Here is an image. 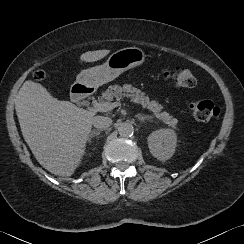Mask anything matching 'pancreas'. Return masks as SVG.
Wrapping results in <instances>:
<instances>
[{
	"instance_id": "cf45deb5",
	"label": "pancreas",
	"mask_w": 244,
	"mask_h": 244,
	"mask_svg": "<svg viewBox=\"0 0 244 244\" xmlns=\"http://www.w3.org/2000/svg\"><path fill=\"white\" fill-rule=\"evenodd\" d=\"M123 97L130 98L132 102L141 104L143 108H147L153 113L155 117L161 120L164 124L176 128L178 120L171 116L168 112L162 111L163 107L155 100H150L141 90L132 87L131 85L124 84L123 86L113 85L102 94L99 101L107 103L114 98L120 101Z\"/></svg>"
}]
</instances>
